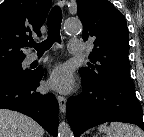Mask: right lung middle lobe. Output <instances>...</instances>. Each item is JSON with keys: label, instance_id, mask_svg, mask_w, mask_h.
Masks as SVG:
<instances>
[{"label": "right lung middle lobe", "instance_id": "dd1d6c3e", "mask_svg": "<svg viewBox=\"0 0 144 137\" xmlns=\"http://www.w3.org/2000/svg\"><path fill=\"white\" fill-rule=\"evenodd\" d=\"M30 70H23L21 62L16 63L4 69H0V80L2 79H20L30 75Z\"/></svg>", "mask_w": 144, "mask_h": 137}]
</instances>
